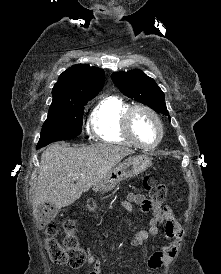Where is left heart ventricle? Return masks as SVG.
I'll return each mask as SVG.
<instances>
[{
	"label": "left heart ventricle",
	"mask_w": 221,
	"mask_h": 274,
	"mask_svg": "<svg viewBox=\"0 0 221 274\" xmlns=\"http://www.w3.org/2000/svg\"><path fill=\"white\" fill-rule=\"evenodd\" d=\"M133 131L136 138L144 144H153L159 135L155 120L144 111H137L133 116Z\"/></svg>",
	"instance_id": "1"
}]
</instances>
